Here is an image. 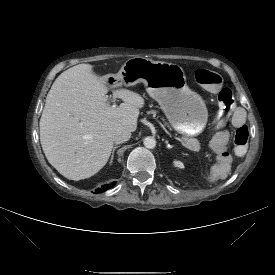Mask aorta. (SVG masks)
<instances>
[{
	"label": "aorta",
	"mask_w": 275,
	"mask_h": 275,
	"mask_svg": "<svg viewBox=\"0 0 275 275\" xmlns=\"http://www.w3.org/2000/svg\"><path fill=\"white\" fill-rule=\"evenodd\" d=\"M143 144L148 149H153L156 146V140L153 137H146L143 141Z\"/></svg>",
	"instance_id": "aorta-1"
}]
</instances>
